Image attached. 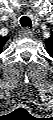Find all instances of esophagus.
Segmentation results:
<instances>
[{
	"label": "esophagus",
	"mask_w": 53,
	"mask_h": 120,
	"mask_svg": "<svg viewBox=\"0 0 53 120\" xmlns=\"http://www.w3.org/2000/svg\"><path fill=\"white\" fill-rule=\"evenodd\" d=\"M21 36L22 37H27V38H30L33 36V32L31 29L29 28H24L22 31H21Z\"/></svg>",
	"instance_id": "obj_1"
}]
</instances>
